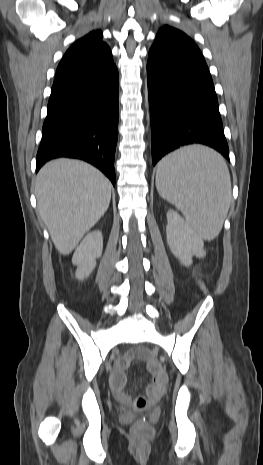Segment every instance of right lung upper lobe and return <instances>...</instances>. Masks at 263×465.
<instances>
[{
  "label": "right lung upper lobe",
  "mask_w": 263,
  "mask_h": 465,
  "mask_svg": "<svg viewBox=\"0 0 263 465\" xmlns=\"http://www.w3.org/2000/svg\"><path fill=\"white\" fill-rule=\"evenodd\" d=\"M100 30L92 31L76 41L59 63L54 84L99 76L116 66L109 46L102 41Z\"/></svg>",
  "instance_id": "obj_1"
}]
</instances>
